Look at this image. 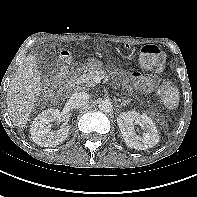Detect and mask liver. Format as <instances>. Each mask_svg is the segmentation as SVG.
<instances>
[{
    "label": "liver",
    "instance_id": "liver-1",
    "mask_svg": "<svg viewBox=\"0 0 197 197\" xmlns=\"http://www.w3.org/2000/svg\"><path fill=\"white\" fill-rule=\"evenodd\" d=\"M41 73L34 55L27 56L11 79L7 92L8 113L14 126L22 128L29 121L41 91Z\"/></svg>",
    "mask_w": 197,
    "mask_h": 197
}]
</instances>
